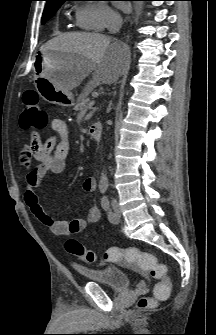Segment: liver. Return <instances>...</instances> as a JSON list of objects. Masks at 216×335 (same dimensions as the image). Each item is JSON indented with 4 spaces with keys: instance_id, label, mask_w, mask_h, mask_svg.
Listing matches in <instances>:
<instances>
[{
    "instance_id": "1",
    "label": "liver",
    "mask_w": 216,
    "mask_h": 335,
    "mask_svg": "<svg viewBox=\"0 0 216 335\" xmlns=\"http://www.w3.org/2000/svg\"><path fill=\"white\" fill-rule=\"evenodd\" d=\"M70 54V66L54 79L60 89L70 91L91 73V86L114 84L127 66L129 47L99 33L73 32L54 37L41 47V52Z\"/></svg>"
}]
</instances>
